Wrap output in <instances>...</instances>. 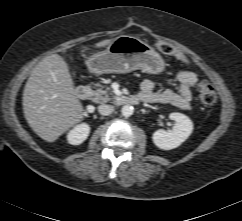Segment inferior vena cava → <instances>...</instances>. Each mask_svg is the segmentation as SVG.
Returning a JSON list of instances; mask_svg holds the SVG:
<instances>
[{
	"instance_id": "obj_1",
	"label": "inferior vena cava",
	"mask_w": 242,
	"mask_h": 221,
	"mask_svg": "<svg viewBox=\"0 0 242 221\" xmlns=\"http://www.w3.org/2000/svg\"><path fill=\"white\" fill-rule=\"evenodd\" d=\"M98 111L101 115L108 116L113 113L114 106L102 104L98 107Z\"/></svg>"
}]
</instances>
